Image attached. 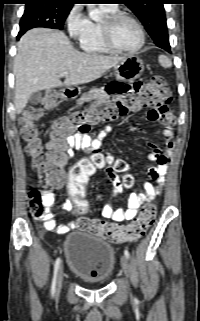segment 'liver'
I'll use <instances>...</instances> for the list:
<instances>
[{"instance_id":"6515ba94","label":"liver","mask_w":200,"mask_h":321,"mask_svg":"<svg viewBox=\"0 0 200 321\" xmlns=\"http://www.w3.org/2000/svg\"><path fill=\"white\" fill-rule=\"evenodd\" d=\"M123 59L77 51L61 31L29 30L18 42L14 59L16 112H22L35 92L92 82ZM63 72L64 83L59 79Z\"/></svg>"}]
</instances>
